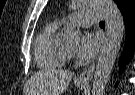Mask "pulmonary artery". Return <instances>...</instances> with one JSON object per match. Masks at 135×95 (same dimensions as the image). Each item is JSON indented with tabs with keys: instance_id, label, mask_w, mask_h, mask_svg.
<instances>
[{
	"instance_id": "pulmonary-artery-1",
	"label": "pulmonary artery",
	"mask_w": 135,
	"mask_h": 95,
	"mask_svg": "<svg viewBox=\"0 0 135 95\" xmlns=\"http://www.w3.org/2000/svg\"><path fill=\"white\" fill-rule=\"evenodd\" d=\"M101 17V13L95 10H79L73 14L71 22L87 26L92 23H98Z\"/></svg>"
}]
</instances>
